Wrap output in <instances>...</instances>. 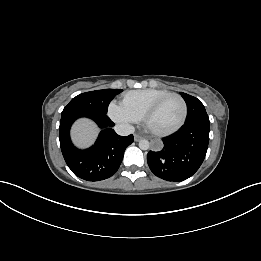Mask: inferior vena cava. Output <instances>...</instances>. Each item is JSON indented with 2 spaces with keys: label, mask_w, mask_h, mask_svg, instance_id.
<instances>
[{
  "label": "inferior vena cava",
  "mask_w": 261,
  "mask_h": 261,
  "mask_svg": "<svg viewBox=\"0 0 261 261\" xmlns=\"http://www.w3.org/2000/svg\"><path fill=\"white\" fill-rule=\"evenodd\" d=\"M114 130L118 135L127 136L133 134L135 128L132 125L121 123L115 125Z\"/></svg>",
  "instance_id": "1"
}]
</instances>
